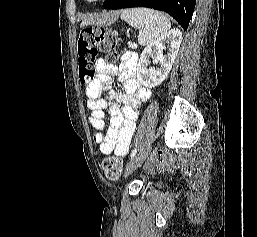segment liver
Segmentation results:
<instances>
[{
  "label": "liver",
  "mask_w": 257,
  "mask_h": 237,
  "mask_svg": "<svg viewBox=\"0 0 257 237\" xmlns=\"http://www.w3.org/2000/svg\"><path fill=\"white\" fill-rule=\"evenodd\" d=\"M118 16H119L118 12L108 13L104 16H94V17H91V18L83 21L82 24H88L91 22L102 23V24H112L117 20Z\"/></svg>",
  "instance_id": "liver-1"
}]
</instances>
